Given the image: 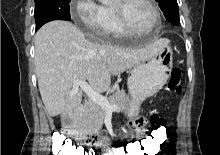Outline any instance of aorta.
<instances>
[{"label": "aorta", "mask_w": 220, "mask_h": 155, "mask_svg": "<svg viewBox=\"0 0 220 155\" xmlns=\"http://www.w3.org/2000/svg\"><path fill=\"white\" fill-rule=\"evenodd\" d=\"M104 3L110 2L111 0H102Z\"/></svg>", "instance_id": "1"}]
</instances>
